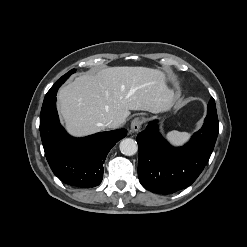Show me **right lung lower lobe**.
Masks as SVG:
<instances>
[{"mask_svg": "<svg viewBox=\"0 0 247 247\" xmlns=\"http://www.w3.org/2000/svg\"><path fill=\"white\" fill-rule=\"evenodd\" d=\"M40 134L53 173L66 184L88 188L101 183L105 158L126 136L127 130L101 132L84 138L71 137L59 122L55 95L43 102Z\"/></svg>", "mask_w": 247, "mask_h": 247, "instance_id": "right-lung-lower-lobe-1", "label": "right lung lower lobe"}]
</instances>
